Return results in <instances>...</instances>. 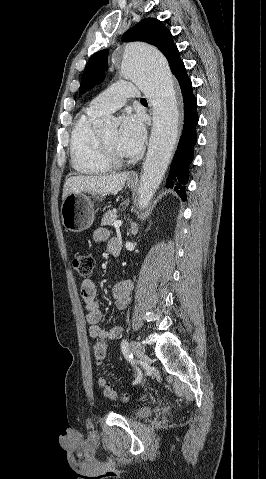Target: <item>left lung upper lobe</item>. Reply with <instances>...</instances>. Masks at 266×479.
I'll list each match as a JSON object with an SVG mask.
<instances>
[{
    "label": "left lung upper lobe",
    "instance_id": "obj_1",
    "mask_svg": "<svg viewBox=\"0 0 266 479\" xmlns=\"http://www.w3.org/2000/svg\"><path fill=\"white\" fill-rule=\"evenodd\" d=\"M121 40L125 42L142 41L156 46L166 56L172 73L182 63L170 31L158 19L146 18L141 20L129 29ZM107 57L108 50H101L90 57L81 80V93L103 80V70L108 63Z\"/></svg>",
    "mask_w": 266,
    "mask_h": 479
}]
</instances>
